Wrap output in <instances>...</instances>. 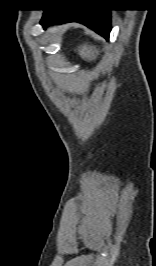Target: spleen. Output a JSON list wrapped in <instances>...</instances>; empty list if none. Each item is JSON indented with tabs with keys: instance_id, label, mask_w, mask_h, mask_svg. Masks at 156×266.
I'll return each instance as SVG.
<instances>
[{
	"instance_id": "1",
	"label": "spleen",
	"mask_w": 156,
	"mask_h": 266,
	"mask_svg": "<svg viewBox=\"0 0 156 266\" xmlns=\"http://www.w3.org/2000/svg\"><path fill=\"white\" fill-rule=\"evenodd\" d=\"M78 54L80 57L87 61H93L97 58L98 51L94 46L88 45L87 43L78 46Z\"/></svg>"
}]
</instances>
